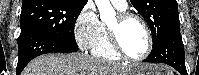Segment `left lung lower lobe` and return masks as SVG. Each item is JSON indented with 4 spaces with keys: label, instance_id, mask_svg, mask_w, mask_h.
Listing matches in <instances>:
<instances>
[{
    "label": "left lung lower lobe",
    "instance_id": "left-lung-lower-lobe-1",
    "mask_svg": "<svg viewBox=\"0 0 199 75\" xmlns=\"http://www.w3.org/2000/svg\"><path fill=\"white\" fill-rule=\"evenodd\" d=\"M144 62L165 63L175 68L182 75H187L184 45L180 30L172 32L157 46L153 47Z\"/></svg>",
    "mask_w": 199,
    "mask_h": 75
}]
</instances>
